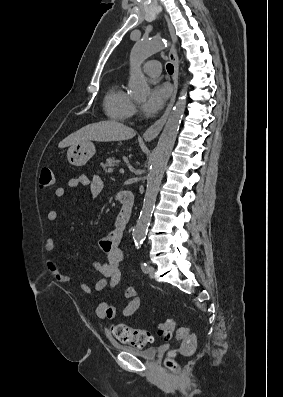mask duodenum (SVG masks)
<instances>
[{
    "label": "duodenum",
    "mask_w": 283,
    "mask_h": 397,
    "mask_svg": "<svg viewBox=\"0 0 283 397\" xmlns=\"http://www.w3.org/2000/svg\"><path fill=\"white\" fill-rule=\"evenodd\" d=\"M120 202V211L116 218V227L120 231L124 230L128 225L134 206V195L130 191H122L118 194Z\"/></svg>",
    "instance_id": "1"
}]
</instances>
